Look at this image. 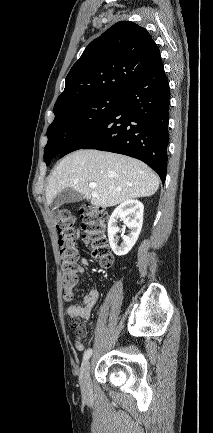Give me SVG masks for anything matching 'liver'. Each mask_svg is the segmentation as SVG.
<instances>
[{
  "instance_id": "liver-1",
  "label": "liver",
  "mask_w": 213,
  "mask_h": 433,
  "mask_svg": "<svg viewBox=\"0 0 213 433\" xmlns=\"http://www.w3.org/2000/svg\"><path fill=\"white\" fill-rule=\"evenodd\" d=\"M89 183H96L90 188ZM81 193L96 207L149 197L159 188L157 174L135 158L92 149L78 150L62 159L46 187V202L64 189Z\"/></svg>"
}]
</instances>
